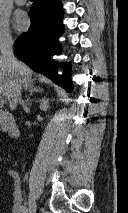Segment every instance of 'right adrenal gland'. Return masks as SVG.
<instances>
[{"instance_id": "obj_1", "label": "right adrenal gland", "mask_w": 128, "mask_h": 213, "mask_svg": "<svg viewBox=\"0 0 128 213\" xmlns=\"http://www.w3.org/2000/svg\"><path fill=\"white\" fill-rule=\"evenodd\" d=\"M28 92H29V95H33L34 92H43V89L40 88V87H36L33 83H31L29 85V87L27 88ZM29 95H27L26 97V100H25V104H29Z\"/></svg>"}]
</instances>
